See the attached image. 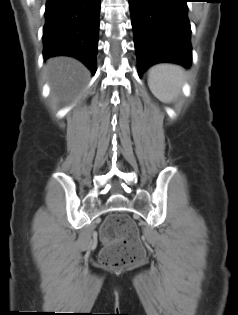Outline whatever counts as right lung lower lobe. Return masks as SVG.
I'll return each mask as SVG.
<instances>
[{"mask_svg": "<svg viewBox=\"0 0 238 315\" xmlns=\"http://www.w3.org/2000/svg\"><path fill=\"white\" fill-rule=\"evenodd\" d=\"M100 0H47L43 56L68 55L96 71Z\"/></svg>", "mask_w": 238, "mask_h": 315, "instance_id": "obj_1", "label": "right lung lower lobe"}]
</instances>
